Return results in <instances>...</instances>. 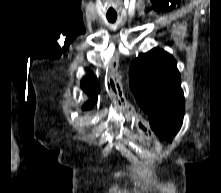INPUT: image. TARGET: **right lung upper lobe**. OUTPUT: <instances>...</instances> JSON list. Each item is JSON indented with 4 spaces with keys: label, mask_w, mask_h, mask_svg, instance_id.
Listing matches in <instances>:
<instances>
[{
    "label": "right lung upper lobe",
    "mask_w": 221,
    "mask_h": 193,
    "mask_svg": "<svg viewBox=\"0 0 221 193\" xmlns=\"http://www.w3.org/2000/svg\"><path fill=\"white\" fill-rule=\"evenodd\" d=\"M81 88L91 96V100H89L83 107V109H91L96 102L98 93H99V83L97 78L93 76L92 73H89L85 76L81 81Z\"/></svg>",
    "instance_id": "obj_1"
}]
</instances>
